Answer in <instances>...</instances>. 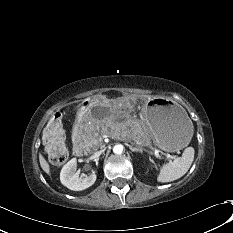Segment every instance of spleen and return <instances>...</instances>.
Returning a JSON list of instances; mask_svg holds the SVG:
<instances>
[{
    "mask_svg": "<svg viewBox=\"0 0 233 233\" xmlns=\"http://www.w3.org/2000/svg\"><path fill=\"white\" fill-rule=\"evenodd\" d=\"M194 148L187 147L182 156L162 166L157 181L167 183L181 178L189 170L194 160Z\"/></svg>",
    "mask_w": 233,
    "mask_h": 233,
    "instance_id": "3e777b00",
    "label": "spleen"
}]
</instances>
